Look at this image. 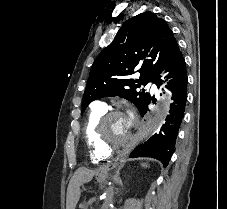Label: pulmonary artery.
Wrapping results in <instances>:
<instances>
[{"mask_svg":"<svg viewBox=\"0 0 227 209\" xmlns=\"http://www.w3.org/2000/svg\"><path fill=\"white\" fill-rule=\"evenodd\" d=\"M89 105H100V106H105V103L100 102V100H89Z\"/></svg>","mask_w":227,"mask_h":209,"instance_id":"e3ab8cb5","label":"pulmonary artery"}]
</instances>
